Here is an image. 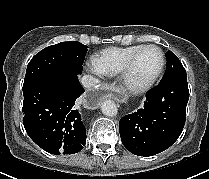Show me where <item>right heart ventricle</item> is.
Wrapping results in <instances>:
<instances>
[{"label":"right heart ventricle","mask_w":209,"mask_h":179,"mask_svg":"<svg viewBox=\"0 0 209 179\" xmlns=\"http://www.w3.org/2000/svg\"><path fill=\"white\" fill-rule=\"evenodd\" d=\"M143 46L145 45L137 44L105 48L94 56V68L102 75L117 76L130 57Z\"/></svg>","instance_id":"right-heart-ventricle-1"}]
</instances>
